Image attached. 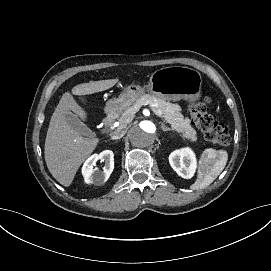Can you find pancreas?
<instances>
[{"label": "pancreas", "mask_w": 271, "mask_h": 271, "mask_svg": "<svg viewBox=\"0 0 271 271\" xmlns=\"http://www.w3.org/2000/svg\"><path fill=\"white\" fill-rule=\"evenodd\" d=\"M142 103L144 105L151 103L153 108H156L162 113L164 120L170 123L177 132L182 133L185 138L190 139L191 141L197 140L196 131L190 125V120L184 118L179 111H176L177 107L175 105H171L170 103L153 96H147V98L142 100ZM136 112L137 109L135 107L127 109L118 119L120 124L119 128L126 127L127 124L132 121Z\"/></svg>", "instance_id": "obj_1"}]
</instances>
